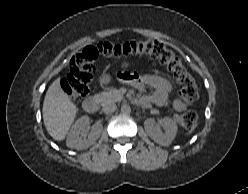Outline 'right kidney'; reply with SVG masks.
I'll list each match as a JSON object with an SVG mask.
<instances>
[{
    "instance_id": "ca27d5eb",
    "label": "right kidney",
    "mask_w": 248,
    "mask_h": 194,
    "mask_svg": "<svg viewBox=\"0 0 248 194\" xmlns=\"http://www.w3.org/2000/svg\"><path fill=\"white\" fill-rule=\"evenodd\" d=\"M90 128L89 126V117L83 116L79 118L76 123L72 126L66 144L69 148L83 150L90 147L95 141L100 137L103 130L101 124H94L91 127V133L86 138V132Z\"/></svg>"
}]
</instances>
